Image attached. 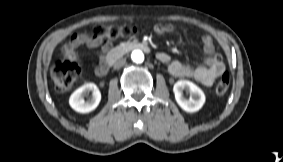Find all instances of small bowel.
<instances>
[{"instance_id": "c3829d8e", "label": "small bowel", "mask_w": 283, "mask_h": 162, "mask_svg": "<svg viewBox=\"0 0 283 162\" xmlns=\"http://www.w3.org/2000/svg\"><path fill=\"white\" fill-rule=\"evenodd\" d=\"M174 30L175 27L172 24H158L154 27L156 34L172 33ZM201 42L207 56L203 59V64L200 66L192 67L178 60H172L171 57L164 52L158 54V59L168 66V70L173 76L191 78L205 86H211L214 81L224 73L225 66L221 57L215 54V45L212 37L203 35ZM80 46H86L88 48L102 46L101 53L98 56L99 64L92 72L96 76L107 78L110 75L107 59L111 55V50L108 48L110 43L104 42L100 37L91 36L86 33H76L72 35L69 41L63 46L65 59L78 64L79 58L76 49Z\"/></svg>"}]
</instances>
